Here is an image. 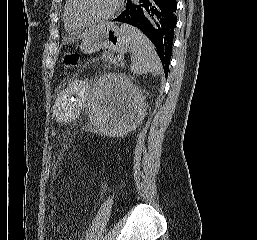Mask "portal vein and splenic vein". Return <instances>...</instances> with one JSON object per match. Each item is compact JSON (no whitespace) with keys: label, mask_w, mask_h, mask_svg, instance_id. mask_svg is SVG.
Segmentation results:
<instances>
[{"label":"portal vein and splenic vein","mask_w":257,"mask_h":240,"mask_svg":"<svg viewBox=\"0 0 257 240\" xmlns=\"http://www.w3.org/2000/svg\"><path fill=\"white\" fill-rule=\"evenodd\" d=\"M122 60H123L122 57H118V61H121V63H122Z\"/></svg>","instance_id":"1"}]
</instances>
